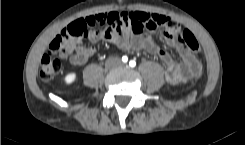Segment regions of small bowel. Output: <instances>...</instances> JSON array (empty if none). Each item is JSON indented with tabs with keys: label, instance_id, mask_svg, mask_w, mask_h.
I'll use <instances>...</instances> for the list:
<instances>
[{
	"label": "small bowel",
	"instance_id": "1",
	"mask_svg": "<svg viewBox=\"0 0 245 145\" xmlns=\"http://www.w3.org/2000/svg\"><path fill=\"white\" fill-rule=\"evenodd\" d=\"M155 15L162 16L144 11L109 12L101 15V19L95 16L96 26L89 32L87 38L93 44L107 40L125 50L133 47L135 49H144L152 55H158L166 67L165 78L169 83L175 84L199 77L202 73V67L196 54L173 31L167 28L166 23L162 25L165 27V31L162 33L164 41L167 46L173 48L179 54L180 62H176L169 52L156 44L154 34L150 33L146 36H138L133 40H129L127 31L116 30L111 27V24H115L121 19L142 21L143 17L151 19ZM86 18H81L80 21H85ZM146 30L152 31L150 29ZM74 51L75 53L72 52L67 57L72 64L82 65L94 55L95 48L83 47L80 40L76 42Z\"/></svg>",
	"mask_w": 245,
	"mask_h": 145
}]
</instances>
